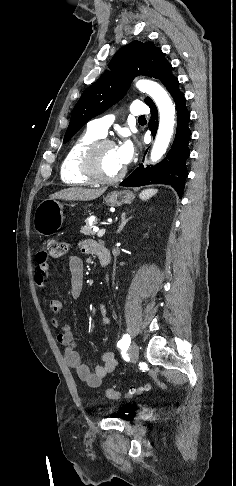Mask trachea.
Masks as SVG:
<instances>
[{"instance_id":"3493384b","label":"trachea","mask_w":236,"mask_h":486,"mask_svg":"<svg viewBox=\"0 0 236 486\" xmlns=\"http://www.w3.org/2000/svg\"><path fill=\"white\" fill-rule=\"evenodd\" d=\"M139 119L140 120H144L145 119V116H140Z\"/></svg>"}]
</instances>
